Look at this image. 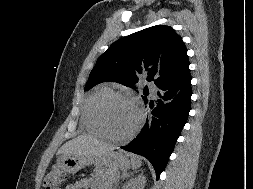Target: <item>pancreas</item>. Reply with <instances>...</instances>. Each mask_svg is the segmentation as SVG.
<instances>
[{
	"label": "pancreas",
	"instance_id": "1",
	"mask_svg": "<svg viewBox=\"0 0 253 189\" xmlns=\"http://www.w3.org/2000/svg\"><path fill=\"white\" fill-rule=\"evenodd\" d=\"M93 176L97 177L104 185L112 186L118 178V172L112 169H106L101 166L96 167Z\"/></svg>",
	"mask_w": 253,
	"mask_h": 189
}]
</instances>
